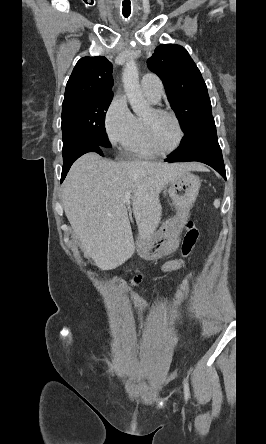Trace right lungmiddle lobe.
<instances>
[{
	"mask_svg": "<svg viewBox=\"0 0 266 444\" xmlns=\"http://www.w3.org/2000/svg\"><path fill=\"white\" fill-rule=\"evenodd\" d=\"M113 94H100L62 104L63 160L86 144L110 148L105 115Z\"/></svg>",
	"mask_w": 266,
	"mask_h": 444,
	"instance_id": "dd1d6c3e",
	"label": "right lung middle lobe"
}]
</instances>
